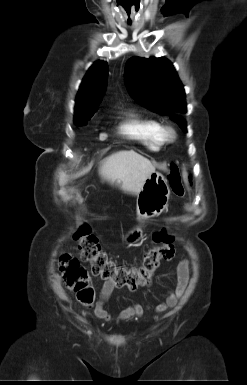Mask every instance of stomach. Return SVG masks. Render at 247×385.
<instances>
[{"instance_id":"0dacf381","label":"stomach","mask_w":247,"mask_h":385,"mask_svg":"<svg viewBox=\"0 0 247 385\" xmlns=\"http://www.w3.org/2000/svg\"><path fill=\"white\" fill-rule=\"evenodd\" d=\"M170 189L164 176L152 173L145 181L137 196V214L141 219L161 214L168 206ZM142 237V230L137 227L130 230L124 237L125 242L132 245Z\"/></svg>"}]
</instances>
